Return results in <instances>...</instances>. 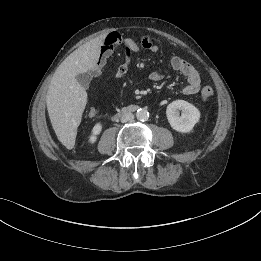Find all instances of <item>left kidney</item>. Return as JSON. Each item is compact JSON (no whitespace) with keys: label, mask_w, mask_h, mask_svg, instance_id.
Instances as JSON below:
<instances>
[{"label":"left kidney","mask_w":261,"mask_h":261,"mask_svg":"<svg viewBox=\"0 0 261 261\" xmlns=\"http://www.w3.org/2000/svg\"><path fill=\"white\" fill-rule=\"evenodd\" d=\"M166 115L170 126L181 133L191 132L200 119V111L184 100H175L170 103L167 106Z\"/></svg>","instance_id":"5707ae66"}]
</instances>
